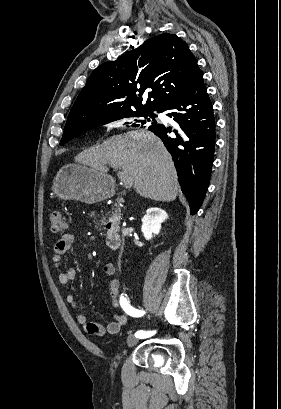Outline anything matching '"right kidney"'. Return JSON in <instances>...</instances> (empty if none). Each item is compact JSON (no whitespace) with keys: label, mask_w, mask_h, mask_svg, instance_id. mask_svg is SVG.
Segmentation results:
<instances>
[{"label":"right kidney","mask_w":281,"mask_h":409,"mask_svg":"<svg viewBox=\"0 0 281 409\" xmlns=\"http://www.w3.org/2000/svg\"><path fill=\"white\" fill-rule=\"evenodd\" d=\"M168 219L166 211L158 209V207H151L147 209L146 215L142 219V233L146 241H150L154 235H159L161 223Z\"/></svg>","instance_id":"right-kidney-1"}]
</instances>
